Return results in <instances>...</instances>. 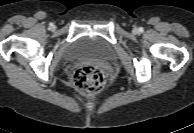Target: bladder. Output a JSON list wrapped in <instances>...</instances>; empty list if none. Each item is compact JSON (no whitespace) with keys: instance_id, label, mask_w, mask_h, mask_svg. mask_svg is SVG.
I'll use <instances>...</instances> for the list:
<instances>
[{"instance_id":"bladder-1","label":"bladder","mask_w":194,"mask_h":133,"mask_svg":"<svg viewBox=\"0 0 194 133\" xmlns=\"http://www.w3.org/2000/svg\"><path fill=\"white\" fill-rule=\"evenodd\" d=\"M114 56L113 46L97 35H82L76 38L67 51L68 59H91L106 61Z\"/></svg>"}]
</instances>
